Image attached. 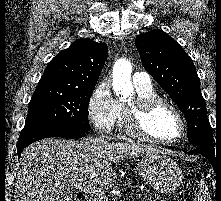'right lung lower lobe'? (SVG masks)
I'll list each match as a JSON object with an SVG mask.
<instances>
[{"instance_id": "right-lung-lower-lobe-1", "label": "right lung lower lobe", "mask_w": 221, "mask_h": 201, "mask_svg": "<svg viewBox=\"0 0 221 201\" xmlns=\"http://www.w3.org/2000/svg\"><path fill=\"white\" fill-rule=\"evenodd\" d=\"M85 132L86 131L73 127L56 125L39 126L28 130L23 129L17 143L18 157H20L21 152L25 147L37 140L49 137L77 139L84 137L86 135Z\"/></svg>"}]
</instances>
